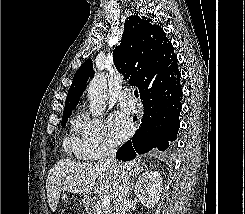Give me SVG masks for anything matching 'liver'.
I'll return each instance as SVG.
<instances>
[{
	"label": "liver",
	"instance_id": "obj_1",
	"mask_svg": "<svg viewBox=\"0 0 245 214\" xmlns=\"http://www.w3.org/2000/svg\"><path fill=\"white\" fill-rule=\"evenodd\" d=\"M125 164L128 175L135 176L144 163L134 160ZM116 181V174L99 164L61 159L49 170L46 180L50 209L56 211L62 191L85 195L94 186L96 194L114 200Z\"/></svg>",
	"mask_w": 245,
	"mask_h": 214
}]
</instances>
